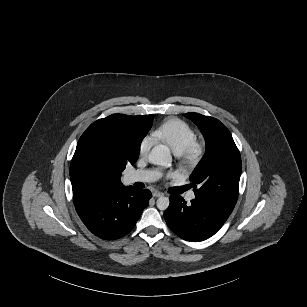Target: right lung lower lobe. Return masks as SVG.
Wrapping results in <instances>:
<instances>
[{"instance_id":"right-lung-lower-lobe-1","label":"right lung lower lobe","mask_w":307,"mask_h":307,"mask_svg":"<svg viewBox=\"0 0 307 307\" xmlns=\"http://www.w3.org/2000/svg\"><path fill=\"white\" fill-rule=\"evenodd\" d=\"M151 196L147 189L115 187L76 205L75 208L94 235L113 240L125 236L134 228Z\"/></svg>"}]
</instances>
